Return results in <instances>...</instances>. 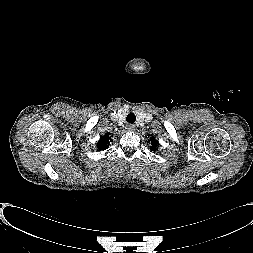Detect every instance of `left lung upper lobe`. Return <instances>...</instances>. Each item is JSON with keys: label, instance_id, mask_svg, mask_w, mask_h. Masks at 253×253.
Instances as JSON below:
<instances>
[{"label": "left lung upper lobe", "instance_id": "left-lung-upper-lobe-1", "mask_svg": "<svg viewBox=\"0 0 253 253\" xmlns=\"http://www.w3.org/2000/svg\"><path fill=\"white\" fill-rule=\"evenodd\" d=\"M151 140H152V150H155V151H156L158 142H157L156 140H154L153 138H151Z\"/></svg>", "mask_w": 253, "mask_h": 253}]
</instances>
